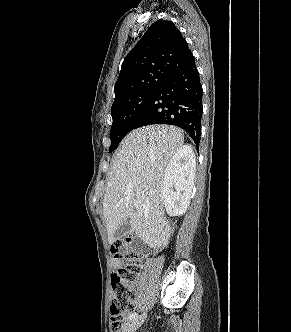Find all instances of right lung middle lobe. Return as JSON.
Returning <instances> with one entry per match:
<instances>
[{"mask_svg":"<svg viewBox=\"0 0 291 332\" xmlns=\"http://www.w3.org/2000/svg\"><path fill=\"white\" fill-rule=\"evenodd\" d=\"M160 82L154 81L147 88L129 93L113 102L109 152L115 150L125 135L133 129L136 117L152 97Z\"/></svg>","mask_w":291,"mask_h":332,"instance_id":"obj_1","label":"right lung middle lobe"}]
</instances>
